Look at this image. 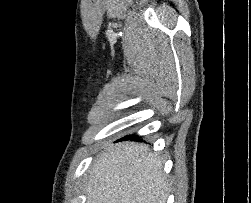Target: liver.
Listing matches in <instances>:
<instances>
[{
    "label": "liver",
    "mask_w": 251,
    "mask_h": 203,
    "mask_svg": "<svg viewBox=\"0 0 251 203\" xmlns=\"http://www.w3.org/2000/svg\"><path fill=\"white\" fill-rule=\"evenodd\" d=\"M87 203H166L162 162L136 142L110 145L89 170Z\"/></svg>",
    "instance_id": "6515ba94"
}]
</instances>
